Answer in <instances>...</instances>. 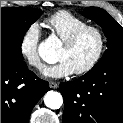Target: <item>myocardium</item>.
I'll return each mask as SVG.
<instances>
[{
	"mask_svg": "<svg viewBox=\"0 0 123 123\" xmlns=\"http://www.w3.org/2000/svg\"><path fill=\"white\" fill-rule=\"evenodd\" d=\"M88 32H94L97 37H98V49L94 55V57L92 58V60L83 68L76 70L74 73L77 75H82V74H86L89 71H91L100 61L104 50H105V45H106V38L105 35L103 33V31L96 26H92V25H87L85 27H82L78 30H76L74 33H72L67 39H65L63 41V46H65L66 48H70L72 46L75 45V43L86 33Z\"/></svg>",
	"mask_w": 123,
	"mask_h": 123,
	"instance_id": "1",
	"label": "myocardium"
}]
</instances>
